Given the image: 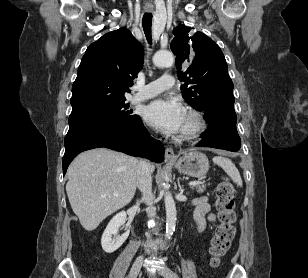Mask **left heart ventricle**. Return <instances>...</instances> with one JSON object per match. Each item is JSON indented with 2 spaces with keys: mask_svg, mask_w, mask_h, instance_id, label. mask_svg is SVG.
I'll return each instance as SVG.
<instances>
[{
  "mask_svg": "<svg viewBox=\"0 0 308 278\" xmlns=\"http://www.w3.org/2000/svg\"><path fill=\"white\" fill-rule=\"evenodd\" d=\"M190 125H191V120H190L189 116L186 114L182 128H181V131L187 129L188 127H190Z\"/></svg>",
  "mask_w": 308,
  "mask_h": 278,
  "instance_id": "obj_1",
  "label": "left heart ventricle"
}]
</instances>
